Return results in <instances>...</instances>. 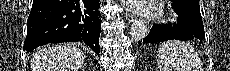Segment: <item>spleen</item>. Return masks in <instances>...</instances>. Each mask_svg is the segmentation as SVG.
I'll return each mask as SVG.
<instances>
[{
	"label": "spleen",
	"instance_id": "spleen-1",
	"mask_svg": "<svg viewBox=\"0 0 230 71\" xmlns=\"http://www.w3.org/2000/svg\"><path fill=\"white\" fill-rule=\"evenodd\" d=\"M160 71H203V64L194 48L182 41L163 42L157 51Z\"/></svg>",
	"mask_w": 230,
	"mask_h": 71
}]
</instances>
